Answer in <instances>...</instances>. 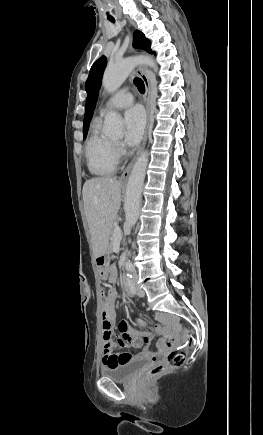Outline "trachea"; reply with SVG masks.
<instances>
[{"instance_id": "trachea-1", "label": "trachea", "mask_w": 263, "mask_h": 435, "mask_svg": "<svg viewBox=\"0 0 263 435\" xmlns=\"http://www.w3.org/2000/svg\"><path fill=\"white\" fill-rule=\"evenodd\" d=\"M111 22H115L114 20H111ZM134 84L136 85V87L138 88L140 93H144L145 92V85L144 82L142 81V79L135 77L134 78Z\"/></svg>"}]
</instances>
